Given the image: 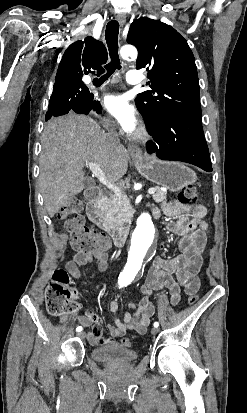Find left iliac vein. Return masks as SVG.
I'll list each match as a JSON object with an SVG mask.
<instances>
[{"instance_id": "obj_1", "label": "left iliac vein", "mask_w": 247, "mask_h": 413, "mask_svg": "<svg viewBox=\"0 0 247 413\" xmlns=\"http://www.w3.org/2000/svg\"><path fill=\"white\" fill-rule=\"evenodd\" d=\"M159 332V329L157 327H153L151 330L152 335H156Z\"/></svg>"}]
</instances>
